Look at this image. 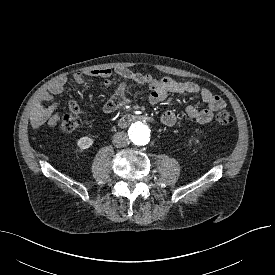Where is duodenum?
<instances>
[{"instance_id":"1","label":"duodenum","mask_w":275,"mask_h":275,"mask_svg":"<svg viewBox=\"0 0 275 275\" xmlns=\"http://www.w3.org/2000/svg\"><path fill=\"white\" fill-rule=\"evenodd\" d=\"M152 119L148 116L139 114H126L119 120V125L125 127L135 121H151Z\"/></svg>"}]
</instances>
